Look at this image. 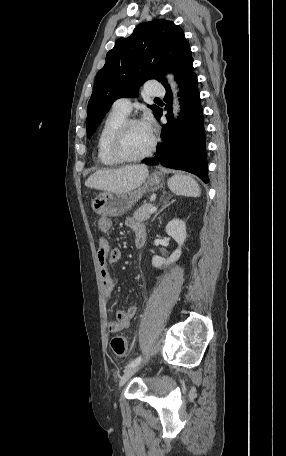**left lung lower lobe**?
I'll return each instance as SVG.
<instances>
[{
    "instance_id": "left-lung-lower-lobe-1",
    "label": "left lung lower lobe",
    "mask_w": 286,
    "mask_h": 456,
    "mask_svg": "<svg viewBox=\"0 0 286 456\" xmlns=\"http://www.w3.org/2000/svg\"><path fill=\"white\" fill-rule=\"evenodd\" d=\"M180 87L181 114L178 124L174 125L172 106H166L167 124L162 129L163 143L158 146L157 154L150 160L144 161L147 165L160 164L162 166L188 171L197 175L205 183L207 177V159L205 148V129L203 109L200 103V94L197 87V75L194 73L193 59L187 62L175 75ZM165 101L172 102V95L168 85ZM162 115L159 108L157 118Z\"/></svg>"
}]
</instances>
